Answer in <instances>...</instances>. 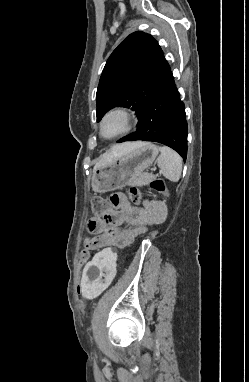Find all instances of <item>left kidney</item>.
<instances>
[{
  "label": "left kidney",
  "instance_id": "left-kidney-1",
  "mask_svg": "<svg viewBox=\"0 0 249 382\" xmlns=\"http://www.w3.org/2000/svg\"><path fill=\"white\" fill-rule=\"evenodd\" d=\"M117 255L113 250H97L92 261L89 262L80 276V300L94 301L99 295L111 287L112 281L118 277L119 267L116 266ZM96 267L98 270H89Z\"/></svg>",
  "mask_w": 249,
  "mask_h": 382
}]
</instances>
